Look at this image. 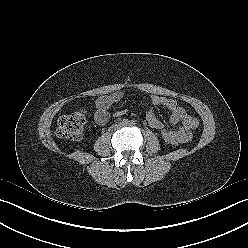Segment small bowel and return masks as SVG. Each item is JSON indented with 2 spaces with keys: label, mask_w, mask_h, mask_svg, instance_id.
Instances as JSON below:
<instances>
[{
  "label": "small bowel",
  "mask_w": 248,
  "mask_h": 248,
  "mask_svg": "<svg viewBox=\"0 0 248 248\" xmlns=\"http://www.w3.org/2000/svg\"><path fill=\"white\" fill-rule=\"evenodd\" d=\"M124 94L121 91H116L111 94L99 97L95 102L94 120L99 126L105 125L109 120V109L120 102ZM164 107L171 112L170 124L177 136L179 143H184L190 140L192 131L198 127V120L190 115L184 108L179 106L173 99L152 95L150 97V108L147 111L146 119L148 124L154 129H162L163 123L156 116L155 108ZM181 123V126L178 124Z\"/></svg>",
  "instance_id": "1"
}]
</instances>
